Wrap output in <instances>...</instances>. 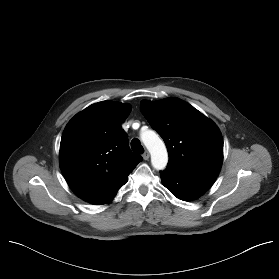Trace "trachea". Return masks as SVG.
Segmentation results:
<instances>
[{"label": "trachea", "mask_w": 279, "mask_h": 279, "mask_svg": "<svg viewBox=\"0 0 279 279\" xmlns=\"http://www.w3.org/2000/svg\"><path fill=\"white\" fill-rule=\"evenodd\" d=\"M131 148L133 150V152L137 153V154H143L144 153V148L141 145L140 141L138 139H133L131 141Z\"/></svg>", "instance_id": "trachea-1"}]
</instances>
